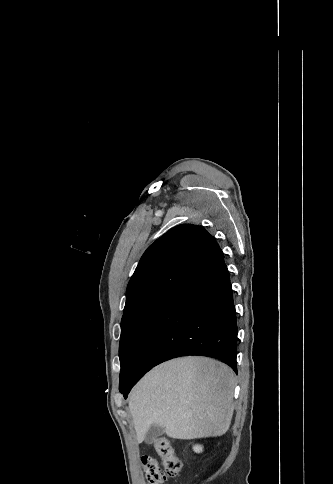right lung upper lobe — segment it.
<instances>
[{"instance_id":"1","label":"right lung upper lobe","mask_w":333,"mask_h":484,"mask_svg":"<svg viewBox=\"0 0 333 484\" xmlns=\"http://www.w3.org/2000/svg\"><path fill=\"white\" fill-rule=\"evenodd\" d=\"M223 258L202 226L182 224L158 238L143 254L126 293L124 313L152 297L173 292Z\"/></svg>"}]
</instances>
